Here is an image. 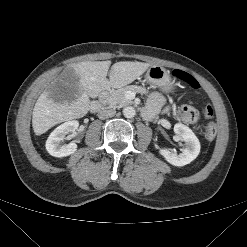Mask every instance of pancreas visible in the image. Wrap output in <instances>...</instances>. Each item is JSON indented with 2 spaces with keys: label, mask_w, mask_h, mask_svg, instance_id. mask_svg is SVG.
<instances>
[{
  "label": "pancreas",
  "mask_w": 247,
  "mask_h": 247,
  "mask_svg": "<svg viewBox=\"0 0 247 247\" xmlns=\"http://www.w3.org/2000/svg\"><path fill=\"white\" fill-rule=\"evenodd\" d=\"M127 91H132L135 93H147L145 87L137 85H129L124 88L115 90L106 98L105 104L109 105L112 108H121L123 106L132 104L133 101L126 98Z\"/></svg>",
  "instance_id": "obj_1"
}]
</instances>
